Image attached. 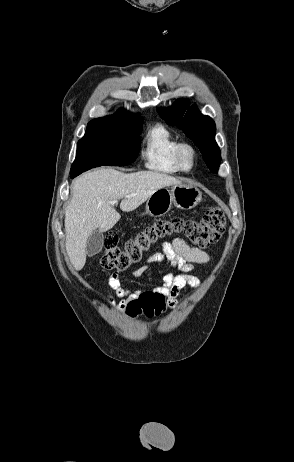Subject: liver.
I'll return each instance as SVG.
<instances>
[{"label": "liver", "mask_w": 294, "mask_h": 462, "mask_svg": "<svg viewBox=\"0 0 294 462\" xmlns=\"http://www.w3.org/2000/svg\"><path fill=\"white\" fill-rule=\"evenodd\" d=\"M178 184L181 181L175 177L156 171L123 173L103 168L79 176L72 184V198L65 211V245L74 268L84 267L86 243L92 232H106L120 220L113 201L122 199L121 210L130 212L156 190Z\"/></svg>", "instance_id": "liver-1"}]
</instances>
